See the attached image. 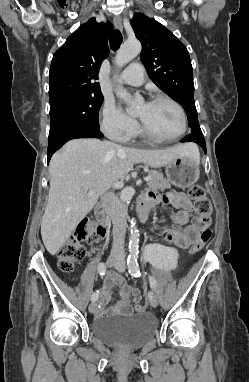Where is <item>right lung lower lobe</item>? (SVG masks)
<instances>
[{
    "label": "right lung lower lobe",
    "mask_w": 249,
    "mask_h": 382,
    "mask_svg": "<svg viewBox=\"0 0 249 382\" xmlns=\"http://www.w3.org/2000/svg\"><path fill=\"white\" fill-rule=\"evenodd\" d=\"M103 134L98 127H76L65 130L56 135L49 136L48 162L52 154L63 146L67 141L77 138H101Z\"/></svg>",
    "instance_id": "obj_1"
}]
</instances>
